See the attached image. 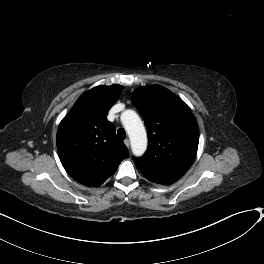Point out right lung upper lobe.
<instances>
[{"instance_id":"1","label":"right lung upper lobe","mask_w":264,"mask_h":264,"mask_svg":"<svg viewBox=\"0 0 264 264\" xmlns=\"http://www.w3.org/2000/svg\"><path fill=\"white\" fill-rule=\"evenodd\" d=\"M122 86H97L84 93L62 119L57 151L66 172L79 183L96 187L105 182L128 156L107 120Z\"/></svg>"}]
</instances>
